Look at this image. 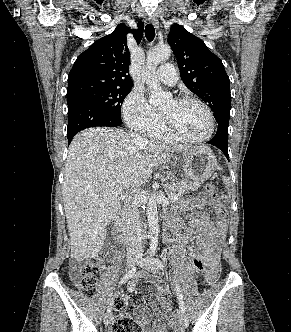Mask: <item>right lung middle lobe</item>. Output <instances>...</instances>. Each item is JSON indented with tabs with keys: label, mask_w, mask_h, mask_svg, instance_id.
<instances>
[{
	"label": "right lung middle lobe",
	"mask_w": 291,
	"mask_h": 332,
	"mask_svg": "<svg viewBox=\"0 0 291 332\" xmlns=\"http://www.w3.org/2000/svg\"><path fill=\"white\" fill-rule=\"evenodd\" d=\"M130 91L131 87L92 90L74 97H67V104L77 98L87 99L112 113L121 122L120 106Z\"/></svg>",
	"instance_id": "obj_1"
}]
</instances>
